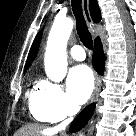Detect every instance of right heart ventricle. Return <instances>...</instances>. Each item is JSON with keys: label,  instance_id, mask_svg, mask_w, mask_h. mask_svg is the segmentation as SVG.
<instances>
[{"label": "right heart ventricle", "instance_id": "obj_1", "mask_svg": "<svg viewBox=\"0 0 136 136\" xmlns=\"http://www.w3.org/2000/svg\"><path fill=\"white\" fill-rule=\"evenodd\" d=\"M37 93H38V86L28 92V102H29V110L32 116L38 121H50L45 112L41 109L37 102Z\"/></svg>", "mask_w": 136, "mask_h": 136}]
</instances>
